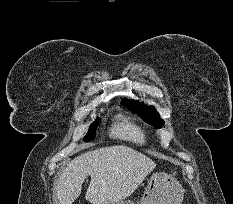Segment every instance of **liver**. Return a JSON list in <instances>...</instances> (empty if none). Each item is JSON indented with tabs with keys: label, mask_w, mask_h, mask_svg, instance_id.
Segmentation results:
<instances>
[{
	"label": "liver",
	"mask_w": 233,
	"mask_h": 204,
	"mask_svg": "<svg viewBox=\"0 0 233 204\" xmlns=\"http://www.w3.org/2000/svg\"><path fill=\"white\" fill-rule=\"evenodd\" d=\"M155 167L149 157L125 145L102 147L67 164L56 182L54 197L58 204H72L90 175L85 199L91 204H114L129 197Z\"/></svg>",
	"instance_id": "liver-1"
}]
</instances>
